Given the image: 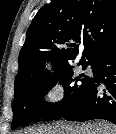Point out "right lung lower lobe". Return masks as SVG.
Listing matches in <instances>:
<instances>
[{
    "mask_svg": "<svg viewBox=\"0 0 116 134\" xmlns=\"http://www.w3.org/2000/svg\"><path fill=\"white\" fill-rule=\"evenodd\" d=\"M90 63L94 77L80 98L52 118L104 119L116 124V44L97 53Z\"/></svg>",
    "mask_w": 116,
    "mask_h": 134,
    "instance_id": "right-lung-lower-lobe-1",
    "label": "right lung lower lobe"
}]
</instances>
